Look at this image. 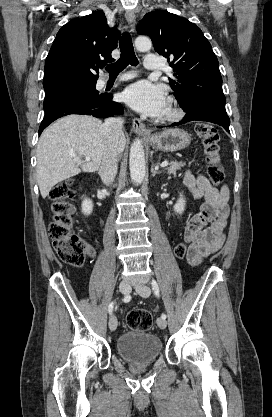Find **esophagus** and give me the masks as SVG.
I'll return each mask as SVG.
<instances>
[{
    "mask_svg": "<svg viewBox=\"0 0 272 417\" xmlns=\"http://www.w3.org/2000/svg\"><path fill=\"white\" fill-rule=\"evenodd\" d=\"M125 18H126V21L128 23V28H129L130 32H133L134 28H135V14H134V12L133 11H127L125 13ZM132 129L135 133H138L140 135H149V132L145 128L144 123L138 118L133 119Z\"/></svg>",
    "mask_w": 272,
    "mask_h": 417,
    "instance_id": "1",
    "label": "esophagus"
}]
</instances>
